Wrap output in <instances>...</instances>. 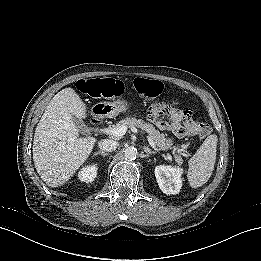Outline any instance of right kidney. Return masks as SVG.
<instances>
[{"mask_svg":"<svg viewBox=\"0 0 261 261\" xmlns=\"http://www.w3.org/2000/svg\"><path fill=\"white\" fill-rule=\"evenodd\" d=\"M95 176H96L95 166L88 169H82V171L78 173L79 179L84 182H92Z\"/></svg>","mask_w":261,"mask_h":261,"instance_id":"1","label":"right kidney"}]
</instances>
